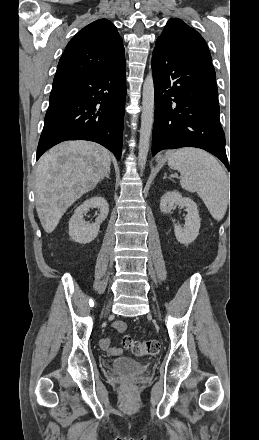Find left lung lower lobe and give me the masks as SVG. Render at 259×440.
<instances>
[{"label": "left lung lower lobe", "instance_id": "left-lung-lower-lobe-1", "mask_svg": "<svg viewBox=\"0 0 259 440\" xmlns=\"http://www.w3.org/2000/svg\"><path fill=\"white\" fill-rule=\"evenodd\" d=\"M152 71L155 86L152 155L163 149L196 147L218 157L229 170L211 60L156 45Z\"/></svg>", "mask_w": 259, "mask_h": 440}]
</instances>
